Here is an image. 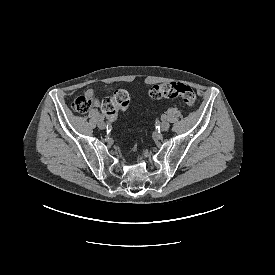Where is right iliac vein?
Segmentation results:
<instances>
[{
    "mask_svg": "<svg viewBox=\"0 0 275 275\" xmlns=\"http://www.w3.org/2000/svg\"><path fill=\"white\" fill-rule=\"evenodd\" d=\"M98 127L100 128V129H105V127H106V125H105V122L103 121V119H100L99 121H98Z\"/></svg>",
    "mask_w": 275,
    "mask_h": 275,
    "instance_id": "1",
    "label": "right iliac vein"
}]
</instances>
